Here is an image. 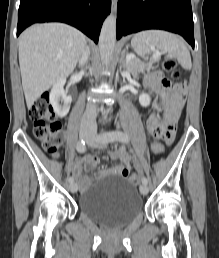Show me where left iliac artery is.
Masks as SVG:
<instances>
[{
    "label": "left iliac artery",
    "instance_id": "44dca946",
    "mask_svg": "<svg viewBox=\"0 0 219 258\" xmlns=\"http://www.w3.org/2000/svg\"><path fill=\"white\" fill-rule=\"evenodd\" d=\"M113 141L128 143L129 137L126 133L122 131L104 132L97 137V142L99 143L105 144ZM141 181L143 184H148V180L146 177H142Z\"/></svg>",
    "mask_w": 219,
    "mask_h": 258
}]
</instances>
